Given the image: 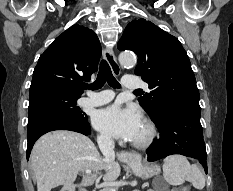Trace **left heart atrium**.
<instances>
[{
	"label": "left heart atrium",
	"mask_w": 233,
	"mask_h": 191,
	"mask_svg": "<svg viewBox=\"0 0 233 191\" xmlns=\"http://www.w3.org/2000/svg\"><path fill=\"white\" fill-rule=\"evenodd\" d=\"M142 118L134 107H123L118 103L97 110L93 115V125L99 131L115 138L132 141L136 136Z\"/></svg>",
	"instance_id": "39dd6f15"
}]
</instances>
